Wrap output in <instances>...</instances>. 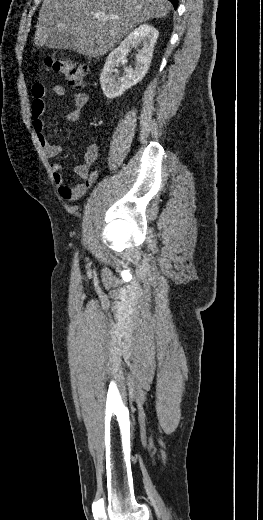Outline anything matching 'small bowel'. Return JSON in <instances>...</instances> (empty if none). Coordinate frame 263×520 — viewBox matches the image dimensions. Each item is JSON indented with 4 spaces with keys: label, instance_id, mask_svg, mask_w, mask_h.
Here are the masks:
<instances>
[{
    "label": "small bowel",
    "instance_id": "small-bowel-1",
    "mask_svg": "<svg viewBox=\"0 0 263 520\" xmlns=\"http://www.w3.org/2000/svg\"><path fill=\"white\" fill-rule=\"evenodd\" d=\"M51 92L58 97L67 94L66 88L62 85L53 86ZM46 95L47 89L43 84L36 83L32 86L31 116L34 131L46 157L55 158L61 154L62 148L59 145L52 144L44 133L43 114L46 107ZM72 101L73 109L67 113L66 119L69 122H76L80 118L82 108L88 103L89 96L85 92H78L73 94ZM99 151V144L95 139H91L84 153L83 162L74 168V172L80 181L73 186L65 183L62 165L58 161L50 163L54 181L58 186L60 196L64 200L73 201L81 198L94 184L98 173L97 170H91V168L97 161Z\"/></svg>",
    "mask_w": 263,
    "mask_h": 520
}]
</instances>
